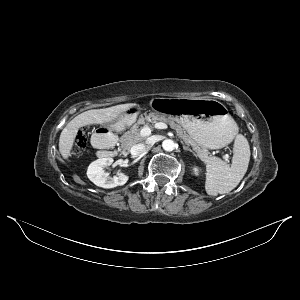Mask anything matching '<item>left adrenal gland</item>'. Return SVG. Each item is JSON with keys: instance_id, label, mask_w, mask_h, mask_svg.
Returning a JSON list of instances; mask_svg holds the SVG:
<instances>
[{"instance_id": "1", "label": "left adrenal gland", "mask_w": 300, "mask_h": 300, "mask_svg": "<svg viewBox=\"0 0 300 300\" xmlns=\"http://www.w3.org/2000/svg\"><path fill=\"white\" fill-rule=\"evenodd\" d=\"M183 149H184L185 151H190L194 156L197 157V154H196L191 148H189L188 146L183 145Z\"/></svg>"}]
</instances>
